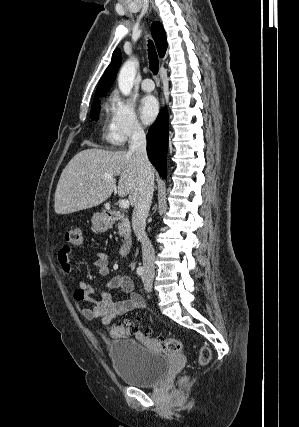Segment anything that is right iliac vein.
Instances as JSON below:
<instances>
[{
  "mask_svg": "<svg viewBox=\"0 0 299 427\" xmlns=\"http://www.w3.org/2000/svg\"><path fill=\"white\" fill-rule=\"evenodd\" d=\"M148 284H149L150 286H152V283H151V281H149V282H148Z\"/></svg>",
  "mask_w": 299,
  "mask_h": 427,
  "instance_id": "obj_1",
  "label": "right iliac vein"
}]
</instances>
